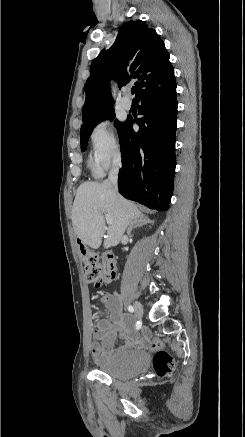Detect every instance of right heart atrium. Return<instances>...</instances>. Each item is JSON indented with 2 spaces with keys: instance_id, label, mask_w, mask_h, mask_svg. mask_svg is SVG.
<instances>
[{
  "instance_id": "obj_1",
  "label": "right heart atrium",
  "mask_w": 245,
  "mask_h": 437,
  "mask_svg": "<svg viewBox=\"0 0 245 437\" xmlns=\"http://www.w3.org/2000/svg\"><path fill=\"white\" fill-rule=\"evenodd\" d=\"M91 165L96 176H102L121 157L119 139L108 121L98 122L90 133Z\"/></svg>"
}]
</instances>
